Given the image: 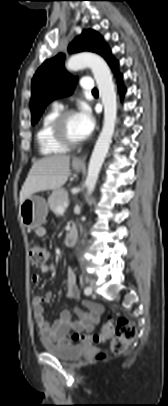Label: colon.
<instances>
[{
  "instance_id": "5ec220e1",
  "label": "colon",
  "mask_w": 168,
  "mask_h": 406,
  "mask_svg": "<svg viewBox=\"0 0 168 406\" xmlns=\"http://www.w3.org/2000/svg\"><path fill=\"white\" fill-rule=\"evenodd\" d=\"M48 250L39 244H32L29 248V258L32 266L43 267L48 259ZM113 324L107 322L103 326L101 334L85 335L78 332H72L70 334L73 341H93L100 343L105 341L112 335ZM137 327L133 321L128 318L120 317L116 322L115 336L113 337L110 345V350L114 354L122 353L129 343L136 337ZM104 353H99L98 358H104Z\"/></svg>"
}]
</instances>
